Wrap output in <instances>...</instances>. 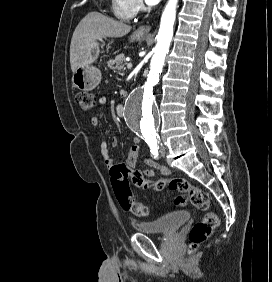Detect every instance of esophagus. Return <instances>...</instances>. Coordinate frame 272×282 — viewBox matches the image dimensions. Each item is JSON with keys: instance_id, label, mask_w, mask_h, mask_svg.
Masks as SVG:
<instances>
[{"instance_id": "esophagus-1", "label": "esophagus", "mask_w": 272, "mask_h": 282, "mask_svg": "<svg viewBox=\"0 0 272 282\" xmlns=\"http://www.w3.org/2000/svg\"><path fill=\"white\" fill-rule=\"evenodd\" d=\"M150 29H151L150 25H142L137 29V32L139 34H145L146 35L150 32Z\"/></svg>"}]
</instances>
